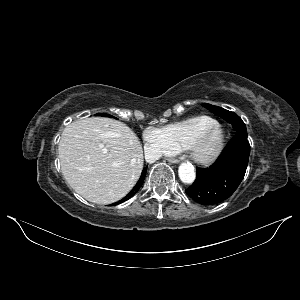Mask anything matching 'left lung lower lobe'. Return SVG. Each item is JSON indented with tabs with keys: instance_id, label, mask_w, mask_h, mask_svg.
<instances>
[{
	"instance_id": "obj_1",
	"label": "left lung lower lobe",
	"mask_w": 300,
	"mask_h": 300,
	"mask_svg": "<svg viewBox=\"0 0 300 300\" xmlns=\"http://www.w3.org/2000/svg\"><path fill=\"white\" fill-rule=\"evenodd\" d=\"M250 154L247 137L234 136L209 168H196L197 177L185 192L201 205L228 199L244 178Z\"/></svg>"
}]
</instances>
